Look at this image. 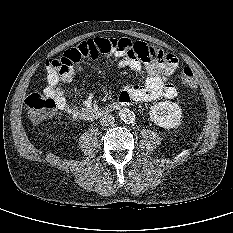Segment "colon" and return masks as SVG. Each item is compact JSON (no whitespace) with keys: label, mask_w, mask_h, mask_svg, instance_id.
I'll use <instances>...</instances> for the list:
<instances>
[{"label":"colon","mask_w":233,"mask_h":233,"mask_svg":"<svg viewBox=\"0 0 233 233\" xmlns=\"http://www.w3.org/2000/svg\"><path fill=\"white\" fill-rule=\"evenodd\" d=\"M126 49L123 39H98L88 40L75 48L66 50L59 58L52 59L51 65L59 73L69 72L73 65L82 58L97 59L103 54H113ZM181 82L189 89L197 88V81L188 67L184 68L180 75ZM28 115L33 121H42L53 114L57 108L55 96L49 92H34L25 99Z\"/></svg>","instance_id":"1"}]
</instances>
